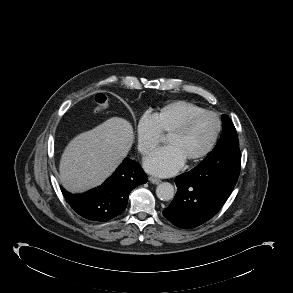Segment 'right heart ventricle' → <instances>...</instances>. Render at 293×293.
Returning a JSON list of instances; mask_svg holds the SVG:
<instances>
[{
	"mask_svg": "<svg viewBox=\"0 0 293 293\" xmlns=\"http://www.w3.org/2000/svg\"><path fill=\"white\" fill-rule=\"evenodd\" d=\"M203 110L201 106L190 101L176 100L163 105L153 115L161 134H169L189 116Z\"/></svg>",
	"mask_w": 293,
	"mask_h": 293,
	"instance_id": "e07e8e85",
	"label": "right heart ventricle"
}]
</instances>
